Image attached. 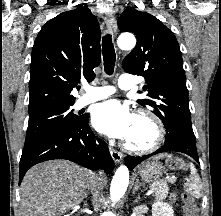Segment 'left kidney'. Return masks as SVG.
<instances>
[{"label":"left kidney","mask_w":221,"mask_h":216,"mask_svg":"<svg viewBox=\"0 0 221 216\" xmlns=\"http://www.w3.org/2000/svg\"><path fill=\"white\" fill-rule=\"evenodd\" d=\"M152 216H174V212L169 204L155 202L152 205Z\"/></svg>","instance_id":"left-kidney-1"}]
</instances>
